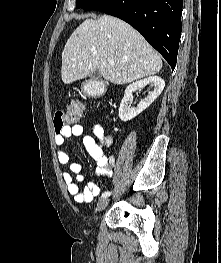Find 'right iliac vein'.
Instances as JSON below:
<instances>
[{
	"label": "right iliac vein",
	"instance_id": "right-iliac-vein-1",
	"mask_svg": "<svg viewBox=\"0 0 221 263\" xmlns=\"http://www.w3.org/2000/svg\"><path fill=\"white\" fill-rule=\"evenodd\" d=\"M109 203V199L108 198H101L98 203H97V212H101L102 210H104L106 208V206Z\"/></svg>",
	"mask_w": 221,
	"mask_h": 263
}]
</instances>
